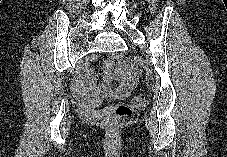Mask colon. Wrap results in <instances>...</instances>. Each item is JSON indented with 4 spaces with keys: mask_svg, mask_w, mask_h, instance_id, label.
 <instances>
[{
    "mask_svg": "<svg viewBox=\"0 0 227 157\" xmlns=\"http://www.w3.org/2000/svg\"><path fill=\"white\" fill-rule=\"evenodd\" d=\"M158 0H148L150 5V11H154L157 8ZM146 103V98L143 95L134 96L131 100V104L133 107H141ZM132 117V108L125 104H120L116 107L115 113L113 115L108 116L105 121L109 124H117L121 120H127Z\"/></svg>",
    "mask_w": 227,
    "mask_h": 157,
    "instance_id": "1",
    "label": "colon"
}]
</instances>
